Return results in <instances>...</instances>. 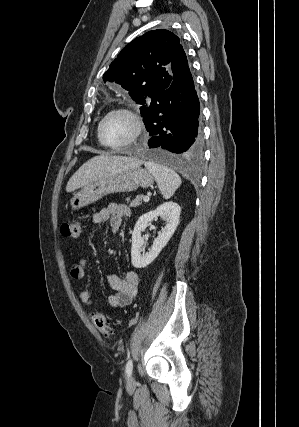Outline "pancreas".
Here are the masks:
<instances>
[{
  "instance_id": "1",
  "label": "pancreas",
  "mask_w": 299,
  "mask_h": 427,
  "mask_svg": "<svg viewBox=\"0 0 299 427\" xmlns=\"http://www.w3.org/2000/svg\"><path fill=\"white\" fill-rule=\"evenodd\" d=\"M142 198H143V196H142V195H138V196H136V197L131 201L130 206H131V207H138L139 205H141V204H142ZM126 200H127V202H129V201H130V199H129V198H127Z\"/></svg>"
}]
</instances>
